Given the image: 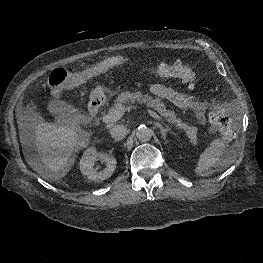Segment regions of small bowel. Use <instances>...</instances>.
Segmentation results:
<instances>
[{
    "instance_id": "small-bowel-1",
    "label": "small bowel",
    "mask_w": 263,
    "mask_h": 263,
    "mask_svg": "<svg viewBox=\"0 0 263 263\" xmlns=\"http://www.w3.org/2000/svg\"><path fill=\"white\" fill-rule=\"evenodd\" d=\"M151 92L165 100H168L181 109H191L199 120H204L208 109V102L201 100L195 95L187 92H180L161 84H152Z\"/></svg>"
}]
</instances>
